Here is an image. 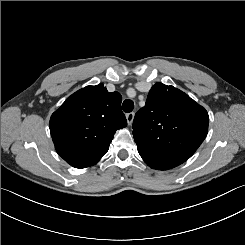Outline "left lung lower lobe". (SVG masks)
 I'll list each match as a JSON object with an SVG mask.
<instances>
[{"mask_svg": "<svg viewBox=\"0 0 245 245\" xmlns=\"http://www.w3.org/2000/svg\"><path fill=\"white\" fill-rule=\"evenodd\" d=\"M139 154L148 166L157 170H169L185 162L180 158L165 152L152 154L139 152Z\"/></svg>", "mask_w": 245, "mask_h": 245, "instance_id": "obj_1", "label": "left lung lower lobe"}]
</instances>
